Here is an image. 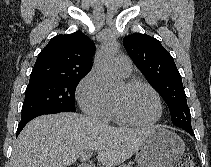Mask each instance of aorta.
I'll return each mask as SVG.
<instances>
[{"mask_svg": "<svg viewBox=\"0 0 211 167\" xmlns=\"http://www.w3.org/2000/svg\"><path fill=\"white\" fill-rule=\"evenodd\" d=\"M117 51L118 44L111 39L101 45L95 57V69L100 76L101 85L106 91H111L120 84V78L112 65V60Z\"/></svg>", "mask_w": 211, "mask_h": 167, "instance_id": "aorta-1", "label": "aorta"}]
</instances>
